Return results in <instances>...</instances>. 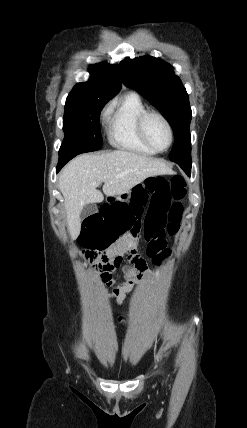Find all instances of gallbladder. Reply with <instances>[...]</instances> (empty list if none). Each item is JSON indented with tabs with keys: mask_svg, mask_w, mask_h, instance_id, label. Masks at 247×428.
Returning <instances> with one entry per match:
<instances>
[{
	"mask_svg": "<svg viewBox=\"0 0 247 428\" xmlns=\"http://www.w3.org/2000/svg\"><path fill=\"white\" fill-rule=\"evenodd\" d=\"M96 212H97V206L94 203L86 204L80 213V218L85 219L90 215L95 214Z\"/></svg>",
	"mask_w": 247,
	"mask_h": 428,
	"instance_id": "1",
	"label": "gallbladder"
}]
</instances>
